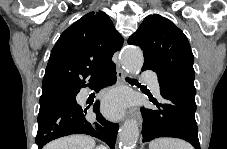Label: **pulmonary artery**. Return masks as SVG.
I'll return each mask as SVG.
<instances>
[{"label":"pulmonary artery","mask_w":227,"mask_h":149,"mask_svg":"<svg viewBox=\"0 0 227 149\" xmlns=\"http://www.w3.org/2000/svg\"><path fill=\"white\" fill-rule=\"evenodd\" d=\"M140 78L147 80L152 91L156 94H159L160 87L158 80L155 76H153L149 71L145 70L141 73Z\"/></svg>","instance_id":"e3ab8cb5"}]
</instances>
